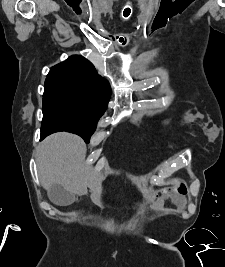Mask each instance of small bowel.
Listing matches in <instances>:
<instances>
[{
	"instance_id": "obj_1",
	"label": "small bowel",
	"mask_w": 225,
	"mask_h": 267,
	"mask_svg": "<svg viewBox=\"0 0 225 267\" xmlns=\"http://www.w3.org/2000/svg\"><path fill=\"white\" fill-rule=\"evenodd\" d=\"M167 200H170L178 209H182L186 205V196L184 194L172 193L161 198L157 206L162 207Z\"/></svg>"
}]
</instances>
